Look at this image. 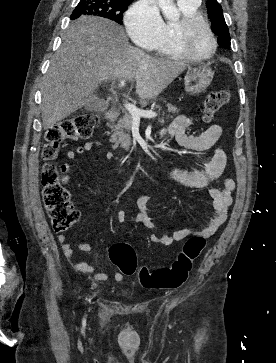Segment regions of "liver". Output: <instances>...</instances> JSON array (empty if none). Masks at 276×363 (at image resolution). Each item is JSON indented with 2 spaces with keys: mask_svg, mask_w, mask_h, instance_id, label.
Returning a JSON list of instances; mask_svg holds the SVG:
<instances>
[{
  "mask_svg": "<svg viewBox=\"0 0 276 363\" xmlns=\"http://www.w3.org/2000/svg\"><path fill=\"white\" fill-rule=\"evenodd\" d=\"M187 67L131 46L124 29L113 21L81 16L64 32L43 79V127L50 129L85 106L101 82L134 79L136 94L153 99Z\"/></svg>",
  "mask_w": 276,
  "mask_h": 363,
  "instance_id": "6515ba94",
  "label": "liver"
}]
</instances>
